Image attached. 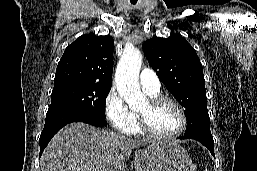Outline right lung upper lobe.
<instances>
[{
    "label": "right lung upper lobe",
    "mask_w": 257,
    "mask_h": 171,
    "mask_svg": "<svg viewBox=\"0 0 257 171\" xmlns=\"http://www.w3.org/2000/svg\"><path fill=\"white\" fill-rule=\"evenodd\" d=\"M113 38L85 34L69 45L61 57L54 88L74 83L112 85Z\"/></svg>",
    "instance_id": "1"
}]
</instances>
